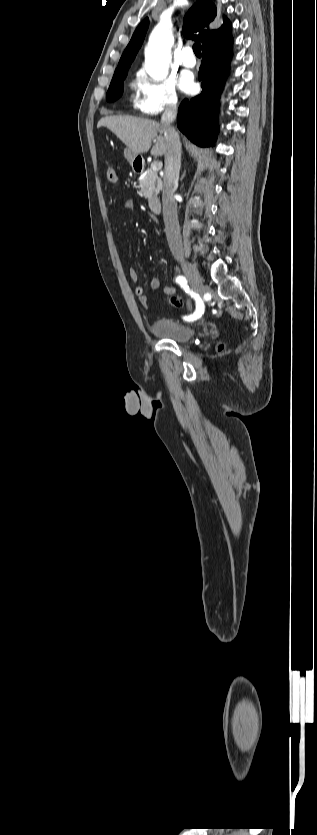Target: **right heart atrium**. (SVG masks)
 <instances>
[{
    "label": "right heart atrium",
    "instance_id": "d8ad5b80",
    "mask_svg": "<svg viewBox=\"0 0 317 835\" xmlns=\"http://www.w3.org/2000/svg\"><path fill=\"white\" fill-rule=\"evenodd\" d=\"M136 86L139 96L135 105L142 114L157 116L177 108L179 98L173 79L152 80L146 74L140 73Z\"/></svg>",
    "mask_w": 317,
    "mask_h": 835
}]
</instances>
